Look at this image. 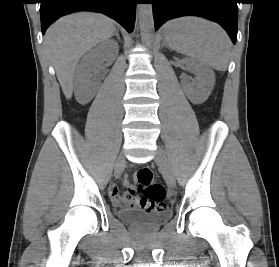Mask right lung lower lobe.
<instances>
[{"instance_id":"obj_1","label":"right lung lower lobe","mask_w":279,"mask_h":267,"mask_svg":"<svg viewBox=\"0 0 279 267\" xmlns=\"http://www.w3.org/2000/svg\"><path fill=\"white\" fill-rule=\"evenodd\" d=\"M137 0H41V30L47 28L57 18L74 11L91 10L106 14L132 32Z\"/></svg>"}]
</instances>
